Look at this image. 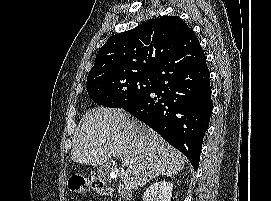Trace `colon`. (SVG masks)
<instances>
[{
  "instance_id": "obj_1",
  "label": "colon",
  "mask_w": 271,
  "mask_h": 201,
  "mask_svg": "<svg viewBox=\"0 0 271 201\" xmlns=\"http://www.w3.org/2000/svg\"><path fill=\"white\" fill-rule=\"evenodd\" d=\"M69 187L72 191L78 193L94 192L102 196H109L112 193L110 187L93 176L73 178L69 182Z\"/></svg>"
}]
</instances>
